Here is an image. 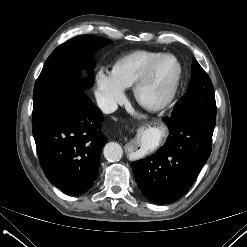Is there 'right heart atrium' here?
I'll use <instances>...</instances> for the list:
<instances>
[{
    "label": "right heart atrium",
    "mask_w": 247,
    "mask_h": 247,
    "mask_svg": "<svg viewBox=\"0 0 247 247\" xmlns=\"http://www.w3.org/2000/svg\"><path fill=\"white\" fill-rule=\"evenodd\" d=\"M95 96L100 108L110 113L124 101L125 91L110 72L99 69L95 75Z\"/></svg>",
    "instance_id": "d8ad5b80"
}]
</instances>
